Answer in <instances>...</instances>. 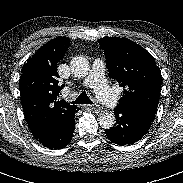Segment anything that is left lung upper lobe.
<instances>
[{
  "instance_id": "left-lung-upper-lobe-1",
  "label": "left lung upper lobe",
  "mask_w": 183,
  "mask_h": 183,
  "mask_svg": "<svg viewBox=\"0 0 183 183\" xmlns=\"http://www.w3.org/2000/svg\"><path fill=\"white\" fill-rule=\"evenodd\" d=\"M110 76L124 88L116 109L153 121L161 92V72L151 54L127 38L103 37Z\"/></svg>"
}]
</instances>
